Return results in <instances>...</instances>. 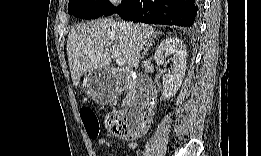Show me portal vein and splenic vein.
<instances>
[{
  "instance_id": "18ae733b",
  "label": "portal vein and splenic vein",
  "mask_w": 261,
  "mask_h": 156,
  "mask_svg": "<svg viewBox=\"0 0 261 156\" xmlns=\"http://www.w3.org/2000/svg\"><path fill=\"white\" fill-rule=\"evenodd\" d=\"M112 57L114 58L113 55H112ZM115 58H116V63H117L119 66L125 65L126 61H125L124 59H122V58H117V57H115Z\"/></svg>"
}]
</instances>
